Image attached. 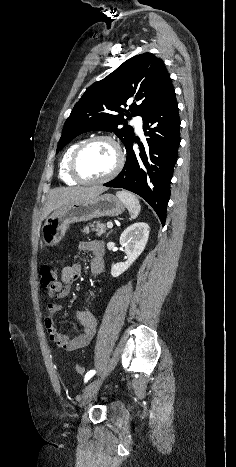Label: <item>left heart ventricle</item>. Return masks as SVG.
Returning <instances> with one entry per match:
<instances>
[{
	"mask_svg": "<svg viewBox=\"0 0 236 467\" xmlns=\"http://www.w3.org/2000/svg\"><path fill=\"white\" fill-rule=\"evenodd\" d=\"M116 159V151L109 142L97 141L83 150L78 160V169L86 179H99L111 172Z\"/></svg>",
	"mask_w": 236,
	"mask_h": 467,
	"instance_id": "obj_1",
	"label": "left heart ventricle"
}]
</instances>
